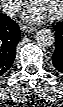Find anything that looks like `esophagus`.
<instances>
[{
	"label": "esophagus",
	"mask_w": 63,
	"mask_h": 107,
	"mask_svg": "<svg viewBox=\"0 0 63 107\" xmlns=\"http://www.w3.org/2000/svg\"><path fill=\"white\" fill-rule=\"evenodd\" d=\"M21 30L25 33H31L36 30V27L24 25L21 27Z\"/></svg>",
	"instance_id": "34e87169"
}]
</instances>
